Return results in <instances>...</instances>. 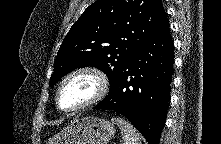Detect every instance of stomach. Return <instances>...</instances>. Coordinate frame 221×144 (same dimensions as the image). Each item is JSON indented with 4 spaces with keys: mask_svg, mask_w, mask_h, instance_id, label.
<instances>
[{
    "mask_svg": "<svg viewBox=\"0 0 221 144\" xmlns=\"http://www.w3.org/2000/svg\"><path fill=\"white\" fill-rule=\"evenodd\" d=\"M114 134L115 129L111 122L87 116L75 118L49 144H107Z\"/></svg>",
    "mask_w": 221,
    "mask_h": 144,
    "instance_id": "stomach-1",
    "label": "stomach"
}]
</instances>
